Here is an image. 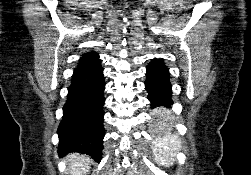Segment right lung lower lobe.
I'll return each instance as SVG.
<instances>
[{
  "label": "right lung lower lobe",
  "mask_w": 251,
  "mask_h": 175,
  "mask_svg": "<svg viewBox=\"0 0 251 175\" xmlns=\"http://www.w3.org/2000/svg\"><path fill=\"white\" fill-rule=\"evenodd\" d=\"M102 71L98 57L80 61L74 70L57 131L61 156L80 152L96 161L101 159L105 134L102 109L105 82Z\"/></svg>",
  "instance_id": "right-lung-lower-lobe-1"
}]
</instances>
